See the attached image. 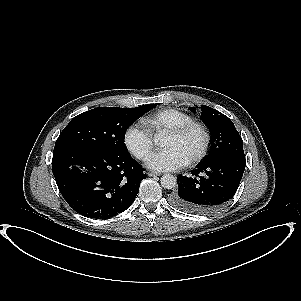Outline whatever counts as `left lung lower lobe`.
Listing matches in <instances>:
<instances>
[{
	"label": "left lung lower lobe",
	"instance_id": "1",
	"mask_svg": "<svg viewBox=\"0 0 301 301\" xmlns=\"http://www.w3.org/2000/svg\"><path fill=\"white\" fill-rule=\"evenodd\" d=\"M244 152H225L201 163L191 172L193 178L179 176L178 189L170 195L176 208L194 213L218 210L235 195L244 173Z\"/></svg>",
	"mask_w": 301,
	"mask_h": 301
}]
</instances>
